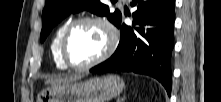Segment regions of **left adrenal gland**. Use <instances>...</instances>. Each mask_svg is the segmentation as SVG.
I'll use <instances>...</instances> for the list:
<instances>
[{"label": "left adrenal gland", "instance_id": "left-adrenal-gland-1", "mask_svg": "<svg viewBox=\"0 0 221 102\" xmlns=\"http://www.w3.org/2000/svg\"><path fill=\"white\" fill-rule=\"evenodd\" d=\"M125 98H118L117 102H124Z\"/></svg>", "mask_w": 221, "mask_h": 102}]
</instances>
